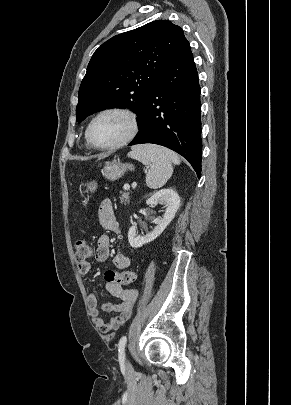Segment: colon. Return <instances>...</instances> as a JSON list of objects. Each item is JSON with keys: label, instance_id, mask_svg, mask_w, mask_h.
<instances>
[{"label": "colon", "instance_id": "colon-1", "mask_svg": "<svg viewBox=\"0 0 291 405\" xmlns=\"http://www.w3.org/2000/svg\"><path fill=\"white\" fill-rule=\"evenodd\" d=\"M75 257L79 264L87 262L93 255V247L84 239H78L74 244ZM135 273L132 271L114 272L108 271L105 274L106 281L113 282L118 285H128L135 281Z\"/></svg>", "mask_w": 291, "mask_h": 405}]
</instances>
